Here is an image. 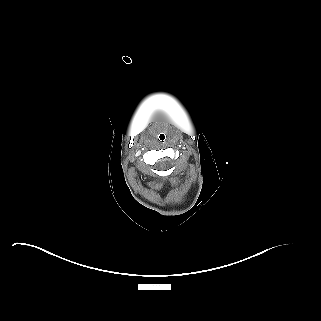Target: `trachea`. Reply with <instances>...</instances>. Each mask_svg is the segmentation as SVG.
<instances>
[{
    "label": "trachea",
    "instance_id": "3493384b",
    "mask_svg": "<svg viewBox=\"0 0 321 321\" xmlns=\"http://www.w3.org/2000/svg\"><path fill=\"white\" fill-rule=\"evenodd\" d=\"M158 138H159V139H162V140L164 141V140L166 139V138H165V133H164V132H159V133H158Z\"/></svg>",
    "mask_w": 321,
    "mask_h": 321
}]
</instances>
